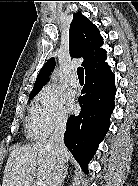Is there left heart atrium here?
Returning a JSON list of instances; mask_svg holds the SVG:
<instances>
[{
    "label": "left heart atrium",
    "mask_w": 138,
    "mask_h": 186,
    "mask_svg": "<svg viewBox=\"0 0 138 186\" xmlns=\"http://www.w3.org/2000/svg\"><path fill=\"white\" fill-rule=\"evenodd\" d=\"M68 108L70 110H73L74 109V103H73V100L71 97H69V100H68Z\"/></svg>",
    "instance_id": "left-heart-atrium-1"
}]
</instances>
